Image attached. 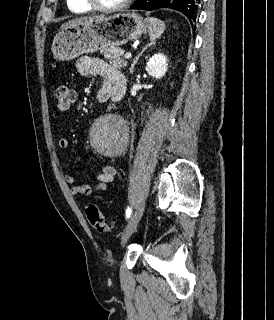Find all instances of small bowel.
<instances>
[{
  "mask_svg": "<svg viewBox=\"0 0 274 320\" xmlns=\"http://www.w3.org/2000/svg\"><path fill=\"white\" fill-rule=\"evenodd\" d=\"M78 72L83 76H99L102 80V86L99 92H106L110 101H118L125 94L126 81L123 75L113 67L99 58L92 56H82L76 63ZM69 142L66 138H61L58 141V146L62 149L67 148ZM117 168L114 165L102 166L97 175V183L94 186L81 185L77 179L64 173V180L71 186L70 194L73 197L91 196L93 193H102L107 189L109 183L114 181Z\"/></svg>",
  "mask_w": 274,
  "mask_h": 320,
  "instance_id": "1",
  "label": "small bowel"
}]
</instances>
